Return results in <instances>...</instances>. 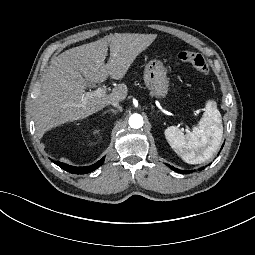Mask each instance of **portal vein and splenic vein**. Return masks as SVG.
Listing matches in <instances>:
<instances>
[{
	"label": "portal vein and splenic vein",
	"mask_w": 255,
	"mask_h": 255,
	"mask_svg": "<svg viewBox=\"0 0 255 255\" xmlns=\"http://www.w3.org/2000/svg\"><path fill=\"white\" fill-rule=\"evenodd\" d=\"M106 94V89L104 87H99L97 90L92 92L85 93L84 99L92 98V97H104Z\"/></svg>",
	"instance_id": "1"
}]
</instances>
